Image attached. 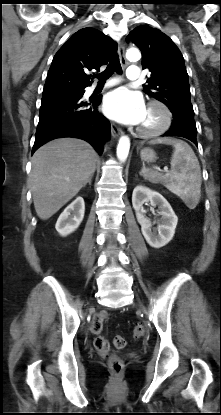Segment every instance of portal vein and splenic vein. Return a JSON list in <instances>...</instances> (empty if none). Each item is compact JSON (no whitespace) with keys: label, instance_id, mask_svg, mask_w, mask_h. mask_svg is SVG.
<instances>
[{"label":"portal vein and splenic vein","instance_id":"obj_1","mask_svg":"<svg viewBox=\"0 0 221 415\" xmlns=\"http://www.w3.org/2000/svg\"><path fill=\"white\" fill-rule=\"evenodd\" d=\"M163 171H164V172H168V168H167V167H165Z\"/></svg>","mask_w":221,"mask_h":415}]
</instances>
